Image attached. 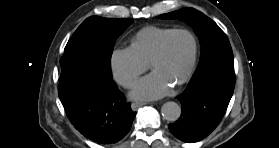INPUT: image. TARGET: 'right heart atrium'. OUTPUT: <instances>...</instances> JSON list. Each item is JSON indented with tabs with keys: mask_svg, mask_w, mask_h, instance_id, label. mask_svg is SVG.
<instances>
[{
	"mask_svg": "<svg viewBox=\"0 0 279 148\" xmlns=\"http://www.w3.org/2000/svg\"><path fill=\"white\" fill-rule=\"evenodd\" d=\"M110 65L114 79L127 88L132 87L147 68L146 63L131 46L115 49Z\"/></svg>",
	"mask_w": 279,
	"mask_h": 148,
	"instance_id": "right-heart-atrium-1",
	"label": "right heart atrium"
}]
</instances>
